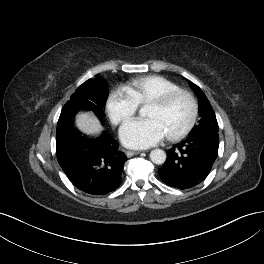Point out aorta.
<instances>
[{"label": "aorta", "mask_w": 264, "mask_h": 264, "mask_svg": "<svg viewBox=\"0 0 264 264\" xmlns=\"http://www.w3.org/2000/svg\"><path fill=\"white\" fill-rule=\"evenodd\" d=\"M150 160L157 165L163 164L166 160V153L162 149H154L150 153Z\"/></svg>", "instance_id": "762f6f07"}]
</instances>
